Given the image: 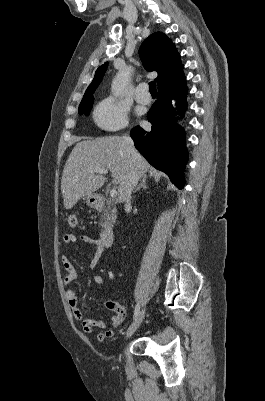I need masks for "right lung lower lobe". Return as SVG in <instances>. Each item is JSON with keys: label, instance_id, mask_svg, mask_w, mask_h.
Returning <instances> with one entry per match:
<instances>
[{"label": "right lung lower lobe", "instance_id": "98d812e1", "mask_svg": "<svg viewBox=\"0 0 265 401\" xmlns=\"http://www.w3.org/2000/svg\"><path fill=\"white\" fill-rule=\"evenodd\" d=\"M187 87L185 80L178 86L158 91L157 101L147 114L152 124L151 131L137 126L131 130L137 150L156 169L165 172L172 183L182 189L184 168L188 159L185 147L184 129L178 128L174 115L178 112L172 107L171 100L179 102L177 110L184 113Z\"/></svg>", "mask_w": 265, "mask_h": 401}]
</instances>
